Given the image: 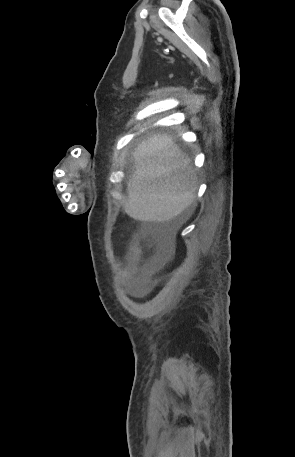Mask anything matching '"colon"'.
I'll use <instances>...</instances> for the list:
<instances>
[{"mask_svg":"<svg viewBox=\"0 0 295 457\" xmlns=\"http://www.w3.org/2000/svg\"><path fill=\"white\" fill-rule=\"evenodd\" d=\"M140 252V245L137 241L132 244V256H137Z\"/></svg>","mask_w":295,"mask_h":457,"instance_id":"1","label":"colon"}]
</instances>
